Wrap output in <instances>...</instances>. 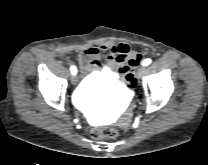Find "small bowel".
I'll return each mask as SVG.
<instances>
[{
    "label": "small bowel",
    "instance_id": "1",
    "mask_svg": "<svg viewBox=\"0 0 208 165\" xmlns=\"http://www.w3.org/2000/svg\"><path fill=\"white\" fill-rule=\"evenodd\" d=\"M102 52H107L108 63L113 71L120 74L134 68L140 60V56L126 43L106 42L98 47H89L79 55V64L84 74H90L102 67L99 61Z\"/></svg>",
    "mask_w": 208,
    "mask_h": 165
}]
</instances>
